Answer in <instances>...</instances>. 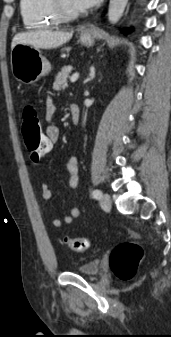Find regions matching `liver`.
<instances>
[{
  "mask_svg": "<svg viewBox=\"0 0 171 337\" xmlns=\"http://www.w3.org/2000/svg\"><path fill=\"white\" fill-rule=\"evenodd\" d=\"M73 32L62 31H35L18 33L11 43L13 49L17 44L32 45L41 49L57 48L72 38Z\"/></svg>",
  "mask_w": 171,
  "mask_h": 337,
  "instance_id": "1",
  "label": "liver"
}]
</instances>
